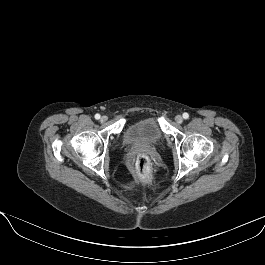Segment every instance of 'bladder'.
Segmentation results:
<instances>
[{
    "instance_id": "1",
    "label": "bladder",
    "mask_w": 265,
    "mask_h": 265,
    "mask_svg": "<svg viewBox=\"0 0 265 265\" xmlns=\"http://www.w3.org/2000/svg\"><path fill=\"white\" fill-rule=\"evenodd\" d=\"M123 139L131 145H156L162 139V130L156 118L147 117L129 123L124 130Z\"/></svg>"
}]
</instances>
